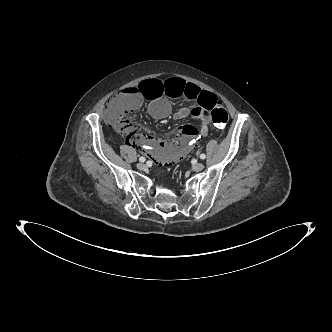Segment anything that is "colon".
Instances as JSON below:
<instances>
[{
	"label": "colon",
	"mask_w": 332,
	"mask_h": 332,
	"mask_svg": "<svg viewBox=\"0 0 332 332\" xmlns=\"http://www.w3.org/2000/svg\"><path fill=\"white\" fill-rule=\"evenodd\" d=\"M140 88L141 85L138 88L125 89L114 96L107 104L105 117L122 135L126 136L129 128L126 121L127 117L141 106L143 96ZM210 117L218 128H224L229 120L228 112L219 100H216L211 107Z\"/></svg>",
	"instance_id": "obj_1"
}]
</instances>
